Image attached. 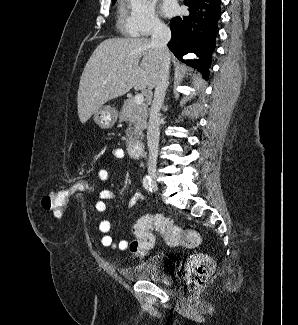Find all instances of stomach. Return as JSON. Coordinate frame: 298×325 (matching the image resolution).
I'll return each mask as SVG.
<instances>
[{"mask_svg": "<svg viewBox=\"0 0 298 325\" xmlns=\"http://www.w3.org/2000/svg\"><path fill=\"white\" fill-rule=\"evenodd\" d=\"M118 118V112L116 108L110 106V104H104V106H100L97 108L95 112H93V120H95L98 126L101 128H111L113 124H115Z\"/></svg>", "mask_w": 298, "mask_h": 325, "instance_id": "0dacf381", "label": "stomach"}]
</instances>
